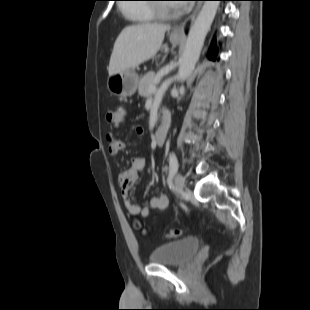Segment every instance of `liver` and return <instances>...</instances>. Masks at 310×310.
Returning a JSON list of instances; mask_svg holds the SVG:
<instances>
[{"instance_id": "liver-1", "label": "liver", "mask_w": 310, "mask_h": 310, "mask_svg": "<svg viewBox=\"0 0 310 310\" xmlns=\"http://www.w3.org/2000/svg\"><path fill=\"white\" fill-rule=\"evenodd\" d=\"M170 26L137 24L125 27L117 37L110 57L109 76L150 60L159 51Z\"/></svg>"}]
</instances>
